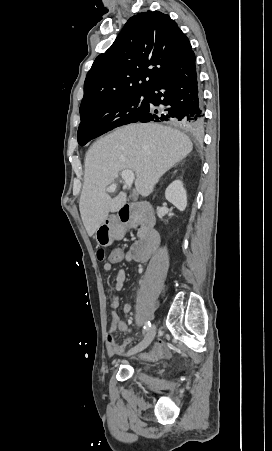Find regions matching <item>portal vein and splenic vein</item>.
<instances>
[{"label":"portal vein and splenic vein","mask_w":272,"mask_h":451,"mask_svg":"<svg viewBox=\"0 0 272 451\" xmlns=\"http://www.w3.org/2000/svg\"><path fill=\"white\" fill-rule=\"evenodd\" d=\"M121 178H123L125 184L127 186H131L135 180V174L132 172V170H123L121 172ZM117 188V184H112V186H109V188H106V192H115Z\"/></svg>","instance_id":"18ae733b"}]
</instances>
